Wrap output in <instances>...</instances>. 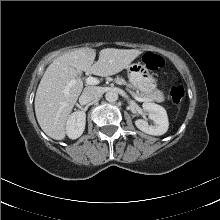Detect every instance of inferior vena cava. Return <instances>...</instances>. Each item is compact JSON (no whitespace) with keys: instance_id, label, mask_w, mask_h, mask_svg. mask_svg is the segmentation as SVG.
<instances>
[{"instance_id":"inferior-vena-cava-1","label":"inferior vena cava","mask_w":220,"mask_h":220,"mask_svg":"<svg viewBox=\"0 0 220 220\" xmlns=\"http://www.w3.org/2000/svg\"><path fill=\"white\" fill-rule=\"evenodd\" d=\"M102 95V90L100 87L96 86H88L85 87L82 93V97L87 101L91 102L94 100H97L101 97Z\"/></svg>"}]
</instances>
